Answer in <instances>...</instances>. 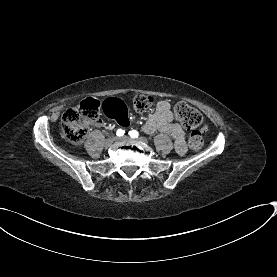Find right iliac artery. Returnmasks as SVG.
<instances>
[{"instance_id":"obj_1","label":"right iliac artery","mask_w":277,"mask_h":277,"mask_svg":"<svg viewBox=\"0 0 277 277\" xmlns=\"http://www.w3.org/2000/svg\"><path fill=\"white\" fill-rule=\"evenodd\" d=\"M124 133H125V131H124V130H122V129H118V130H117V132H116V135H117V136H119V137H121V136H123V135H124Z\"/></svg>"}]
</instances>
